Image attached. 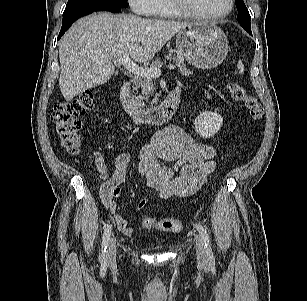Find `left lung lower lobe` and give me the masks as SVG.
<instances>
[{"label": "left lung lower lobe", "instance_id": "left-lung-lower-lobe-1", "mask_svg": "<svg viewBox=\"0 0 307 301\" xmlns=\"http://www.w3.org/2000/svg\"><path fill=\"white\" fill-rule=\"evenodd\" d=\"M249 34H251L252 35V32H251V30H247V29H245Z\"/></svg>", "mask_w": 307, "mask_h": 301}]
</instances>
